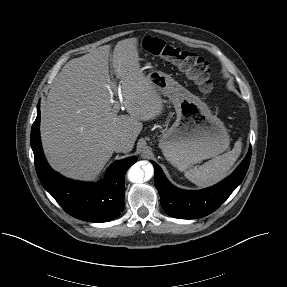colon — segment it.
I'll list each match as a JSON object with an SVG mask.
<instances>
[{"mask_svg":"<svg viewBox=\"0 0 287 287\" xmlns=\"http://www.w3.org/2000/svg\"><path fill=\"white\" fill-rule=\"evenodd\" d=\"M141 45L150 54L175 64L201 92L207 94L213 90L211 69L203 57L153 36L144 37Z\"/></svg>","mask_w":287,"mask_h":287,"instance_id":"5ec220e1","label":"colon"}]
</instances>
